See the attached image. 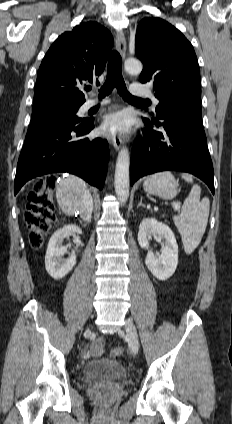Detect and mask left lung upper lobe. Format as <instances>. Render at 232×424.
I'll return each instance as SVG.
<instances>
[{
    "label": "left lung upper lobe",
    "mask_w": 232,
    "mask_h": 424,
    "mask_svg": "<svg viewBox=\"0 0 232 424\" xmlns=\"http://www.w3.org/2000/svg\"><path fill=\"white\" fill-rule=\"evenodd\" d=\"M135 51L144 69L140 81L153 79L159 100L156 117L162 107L174 103L201 105V79L193 46L174 26L156 17L140 21Z\"/></svg>",
    "instance_id": "5c2ea615"
}]
</instances>
